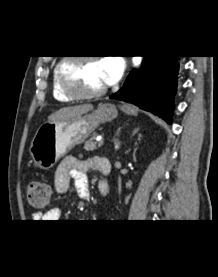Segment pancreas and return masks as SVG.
Returning <instances> with one entry per match:
<instances>
[{
	"instance_id": "obj_1",
	"label": "pancreas",
	"mask_w": 218,
	"mask_h": 277,
	"mask_svg": "<svg viewBox=\"0 0 218 277\" xmlns=\"http://www.w3.org/2000/svg\"><path fill=\"white\" fill-rule=\"evenodd\" d=\"M95 139H96V135H94L89 140H87L85 142V144H84V147H83L84 150H86V151H94L95 149H97Z\"/></svg>"
}]
</instances>
